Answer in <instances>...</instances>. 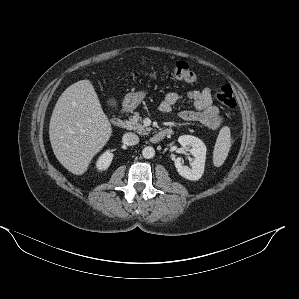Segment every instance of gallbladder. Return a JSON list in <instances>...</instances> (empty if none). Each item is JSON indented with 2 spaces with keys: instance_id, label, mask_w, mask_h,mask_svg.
I'll use <instances>...</instances> for the list:
<instances>
[{
  "instance_id": "bac80fb5",
  "label": "gallbladder",
  "mask_w": 299,
  "mask_h": 299,
  "mask_svg": "<svg viewBox=\"0 0 299 299\" xmlns=\"http://www.w3.org/2000/svg\"><path fill=\"white\" fill-rule=\"evenodd\" d=\"M107 103L111 106L114 107L116 105V100L114 98H109Z\"/></svg>"
}]
</instances>
